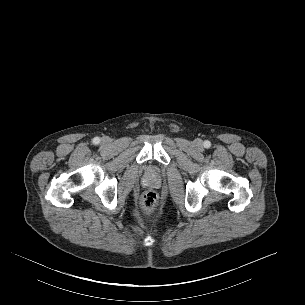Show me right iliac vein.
<instances>
[{"mask_svg": "<svg viewBox=\"0 0 305 305\" xmlns=\"http://www.w3.org/2000/svg\"><path fill=\"white\" fill-rule=\"evenodd\" d=\"M102 141H103V143H108V142H109V139L104 138Z\"/></svg>", "mask_w": 305, "mask_h": 305, "instance_id": "1", "label": "right iliac vein"}]
</instances>
